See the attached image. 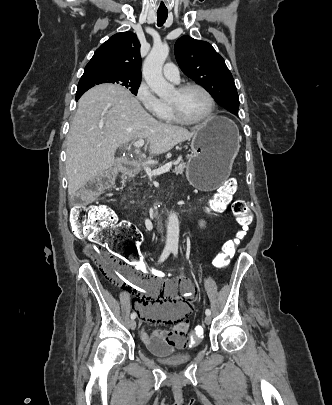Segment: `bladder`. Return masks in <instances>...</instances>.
Here are the masks:
<instances>
[{
	"mask_svg": "<svg viewBox=\"0 0 332 405\" xmlns=\"http://www.w3.org/2000/svg\"><path fill=\"white\" fill-rule=\"evenodd\" d=\"M149 353L156 356L160 362L182 365L192 360L193 355L187 352H179L171 347H165L164 352L159 353L154 348L146 346Z\"/></svg>",
	"mask_w": 332,
	"mask_h": 405,
	"instance_id": "obj_1",
	"label": "bladder"
}]
</instances>
